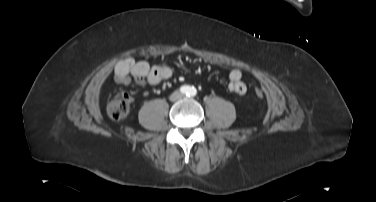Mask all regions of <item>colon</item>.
<instances>
[{
  "label": "colon",
  "instance_id": "1",
  "mask_svg": "<svg viewBox=\"0 0 376 202\" xmlns=\"http://www.w3.org/2000/svg\"><path fill=\"white\" fill-rule=\"evenodd\" d=\"M255 94L258 98H262L264 93L261 89H257ZM132 97L128 93L118 94L108 105L107 113L111 120L121 122L129 113Z\"/></svg>",
  "mask_w": 376,
  "mask_h": 202
}]
</instances>
